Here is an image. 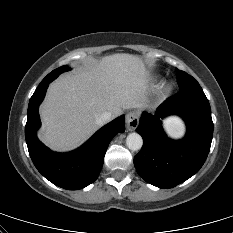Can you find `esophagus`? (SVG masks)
<instances>
[{"label":"esophagus","mask_w":233,"mask_h":233,"mask_svg":"<svg viewBox=\"0 0 233 233\" xmlns=\"http://www.w3.org/2000/svg\"><path fill=\"white\" fill-rule=\"evenodd\" d=\"M139 124V116L136 112H130L126 116V127L129 131L135 130Z\"/></svg>","instance_id":"34e87169"}]
</instances>
